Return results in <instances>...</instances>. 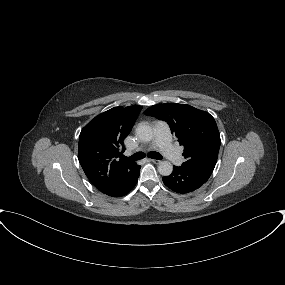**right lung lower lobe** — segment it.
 <instances>
[{"mask_svg":"<svg viewBox=\"0 0 285 285\" xmlns=\"http://www.w3.org/2000/svg\"><path fill=\"white\" fill-rule=\"evenodd\" d=\"M140 173V166L134 169V171L126 178L120 180L118 183L100 189V191L111 197H121L128 194L136 185Z\"/></svg>","mask_w":285,"mask_h":285,"instance_id":"right-lung-lower-lobe-1","label":"right lung lower lobe"}]
</instances>
